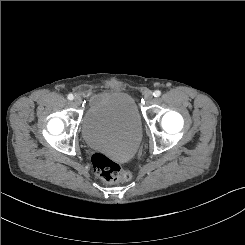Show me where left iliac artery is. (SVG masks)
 Here are the masks:
<instances>
[{
    "mask_svg": "<svg viewBox=\"0 0 245 245\" xmlns=\"http://www.w3.org/2000/svg\"><path fill=\"white\" fill-rule=\"evenodd\" d=\"M153 95H154V97H159L161 95V91L156 90V91H154Z\"/></svg>",
    "mask_w": 245,
    "mask_h": 245,
    "instance_id": "obj_1",
    "label": "left iliac artery"
}]
</instances>
